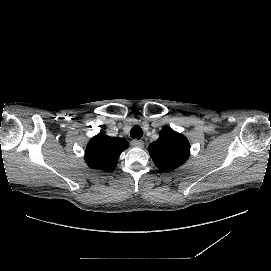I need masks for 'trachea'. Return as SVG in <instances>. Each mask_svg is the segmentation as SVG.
Masks as SVG:
<instances>
[{
  "instance_id": "trachea-1",
  "label": "trachea",
  "mask_w": 271,
  "mask_h": 271,
  "mask_svg": "<svg viewBox=\"0 0 271 271\" xmlns=\"http://www.w3.org/2000/svg\"><path fill=\"white\" fill-rule=\"evenodd\" d=\"M130 136L134 139H141L143 136V130L139 126H134L130 131Z\"/></svg>"
}]
</instances>
